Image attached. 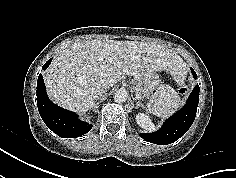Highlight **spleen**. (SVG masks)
Here are the masks:
<instances>
[{"label": "spleen", "mask_w": 236, "mask_h": 178, "mask_svg": "<svg viewBox=\"0 0 236 178\" xmlns=\"http://www.w3.org/2000/svg\"><path fill=\"white\" fill-rule=\"evenodd\" d=\"M179 94L170 85H160L151 96L148 109L161 118H166L177 111L180 106Z\"/></svg>", "instance_id": "3e777b00"}]
</instances>
